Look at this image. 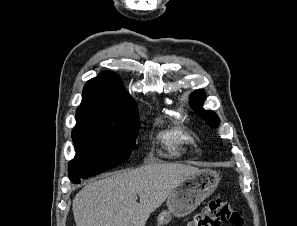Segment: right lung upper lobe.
I'll list each match as a JSON object with an SVG mask.
<instances>
[{
    "instance_id": "right-lung-upper-lobe-1",
    "label": "right lung upper lobe",
    "mask_w": 297,
    "mask_h": 226,
    "mask_svg": "<svg viewBox=\"0 0 297 226\" xmlns=\"http://www.w3.org/2000/svg\"><path fill=\"white\" fill-rule=\"evenodd\" d=\"M132 108L137 105L120 78L113 72H105L84 86L76 124L118 125L121 113Z\"/></svg>"
}]
</instances>
